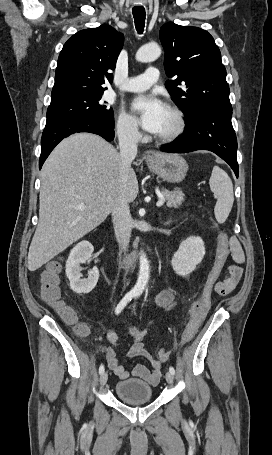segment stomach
Wrapping results in <instances>:
<instances>
[{"mask_svg": "<svg viewBox=\"0 0 272 455\" xmlns=\"http://www.w3.org/2000/svg\"><path fill=\"white\" fill-rule=\"evenodd\" d=\"M149 169L159 177L171 183H179L184 180L188 164L178 154L157 153L147 160Z\"/></svg>", "mask_w": 272, "mask_h": 455, "instance_id": "1", "label": "stomach"}]
</instances>
